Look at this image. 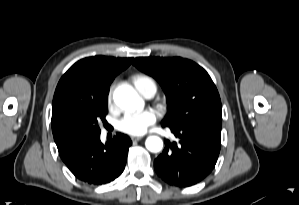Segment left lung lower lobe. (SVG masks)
I'll return each mask as SVG.
<instances>
[{"instance_id": "obj_1", "label": "left lung lower lobe", "mask_w": 299, "mask_h": 205, "mask_svg": "<svg viewBox=\"0 0 299 205\" xmlns=\"http://www.w3.org/2000/svg\"><path fill=\"white\" fill-rule=\"evenodd\" d=\"M221 119L168 127L180 139L167 141L154 161L158 176L170 185L192 186L203 180L215 167L221 148Z\"/></svg>"}]
</instances>
